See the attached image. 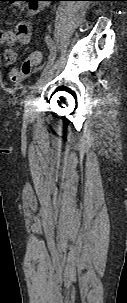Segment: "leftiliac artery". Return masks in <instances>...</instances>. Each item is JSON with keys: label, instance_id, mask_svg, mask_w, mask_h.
Masks as SVG:
<instances>
[{"label": "left iliac artery", "instance_id": "1", "mask_svg": "<svg viewBox=\"0 0 127 303\" xmlns=\"http://www.w3.org/2000/svg\"><path fill=\"white\" fill-rule=\"evenodd\" d=\"M45 40H46V43H47V45H48V47L50 49V55H49V58H48V62L45 65V67H44L41 75L43 73L47 72L54 65V61H55V57H56V47L54 45L53 40L51 39L50 36H46ZM36 87H37V82L34 85H32L30 88L33 91V90L36 89Z\"/></svg>", "mask_w": 127, "mask_h": 303}]
</instances>
